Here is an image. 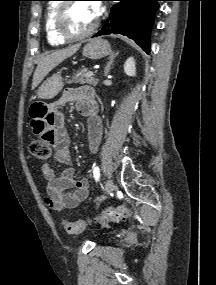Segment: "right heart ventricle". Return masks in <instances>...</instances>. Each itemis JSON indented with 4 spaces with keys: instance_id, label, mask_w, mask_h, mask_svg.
Returning a JSON list of instances; mask_svg holds the SVG:
<instances>
[{
    "instance_id": "right-heart-ventricle-1",
    "label": "right heart ventricle",
    "mask_w": 216,
    "mask_h": 285,
    "mask_svg": "<svg viewBox=\"0 0 216 285\" xmlns=\"http://www.w3.org/2000/svg\"><path fill=\"white\" fill-rule=\"evenodd\" d=\"M60 5L61 3L57 1L50 2L46 9L44 25H45L46 38L51 46H60L65 44L66 42V40L62 39L57 34L55 29V17Z\"/></svg>"
}]
</instances>
